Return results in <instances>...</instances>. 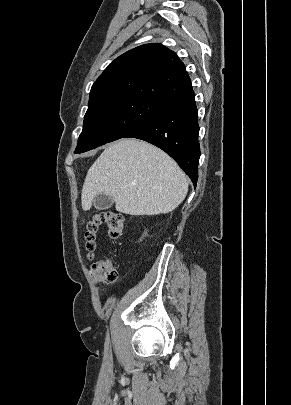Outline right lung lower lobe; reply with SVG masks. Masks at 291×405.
I'll return each mask as SVG.
<instances>
[{
    "label": "right lung lower lobe",
    "instance_id": "1",
    "mask_svg": "<svg viewBox=\"0 0 291 405\" xmlns=\"http://www.w3.org/2000/svg\"><path fill=\"white\" fill-rule=\"evenodd\" d=\"M198 110L193 89L165 103L147 123L125 137L149 142L169 154L190 177L196 187L200 145Z\"/></svg>",
    "mask_w": 291,
    "mask_h": 405
}]
</instances>
